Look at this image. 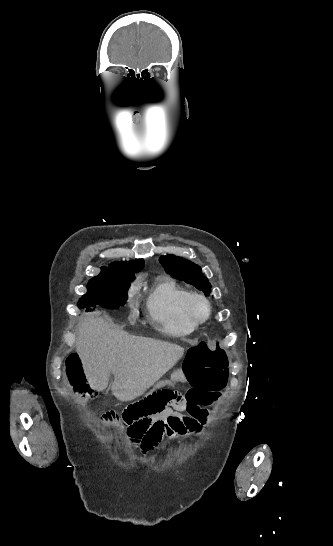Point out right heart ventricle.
Masks as SVG:
<instances>
[{
    "label": "right heart ventricle",
    "mask_w": 333,
    "mask_h": 546,
    "mask_svg": "<svg viewBox=\"0 0 333 546\" xmlns=\"http://www.w3.org/2000/svg\"><path fill=\"white\" fill-rule=\"evenodd\" d=\"M190 292L168 278L158 279L146 297L148 319L164 333L184 337L197 327L189 320L184 305Z\"/></svg>",
    "instance_id": "obj_1"
}]
</instances>
